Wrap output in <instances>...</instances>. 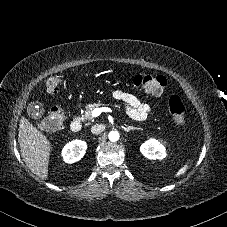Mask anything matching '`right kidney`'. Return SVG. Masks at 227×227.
I'll return each instance as SVG.
<instances>
[{
  "label": "right kidney",
  "mask_w": 227,
  "mask_h": 227,
  "mask_svg": "<svg viewBox=\"0 0 227 227\" xmlns=\"http://www.w3.org/2000/svg\"><path fill=\"white\" fill-rule=\"evenodd\" d=\"M87 144L82 140H74L66 144L62 150V157L66 163L79 161L85 154Z\"/></svg>",
  "instance_id": "obj_1"
}]
</instances>
